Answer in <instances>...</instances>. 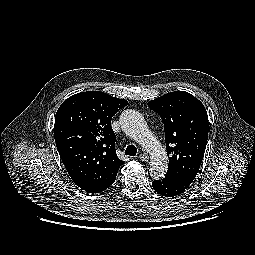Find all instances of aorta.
<instances>
[{
  "instance_id": "obj_1",
  "label": "aorta",
  "mask_w": 255,
  "mask_h": 255,
  "mask_svg": "<svg viewBox=\"0 0 255 255\" xmlns=\"http://www.w3.org/2000/svg\"><path fill=\"white\" fill-rule=\"evenodd\" d=\"M120 124L124 133L149 153L150 175L155 179L164 177L168 169L166 151L148 129L144 117L138 111L128 109L121 113Z\"/></svg>"
}]
</instances>
